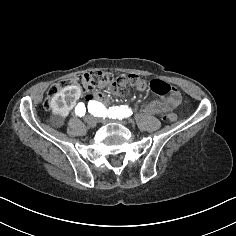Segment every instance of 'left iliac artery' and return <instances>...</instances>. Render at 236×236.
<instances>
[{
	"mask_svg": "<svg viewBox=\"0 0 236 236\" xmlns=\"http://www.w3.org/2000/svg\"><path fill=\"white\" fill-rule=\"evenodd\" d=\"M88 112L97 117H109L112 119H123L133 114L132 110L128 106L121 105L120 107H109L107 110L105 106L98 101L90 100L88 103Z\"/></svg>",
	"mask_w": 236,
	"mask_h": 236,
	"instance_id": "1",
	"label": "left iliac artery"
}]
</instances>
